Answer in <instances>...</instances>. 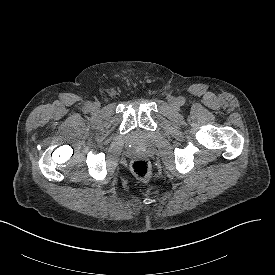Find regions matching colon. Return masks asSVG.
Returning a JSON list of instances; mask_svg holds the SVG:
<instances>
[{"instance_id":"colon-1","label":"colon","mask_w":275,"mask_h":275,"mask_svg":"<svg viewBox=\"0 0 275 275\" xmlns=\"http://www.w3.org/2000/svg\"><path fill=\"white\" fill-rule=\"evenodd\" d=\"M131 170L137 178L143 181H148L152 175L150 163L143 158L135 159L131 164Z\"/></svg>"}]
</instances>
